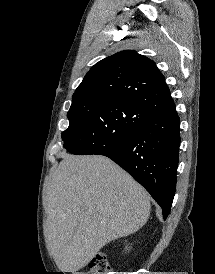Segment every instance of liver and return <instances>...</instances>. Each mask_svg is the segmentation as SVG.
Masks as SVG:
<instances>
[{"instance_id":"obj_1","label":"liver","mask_w":215,"mask_h":274,"mask_svg":"<svg viewBox=\"0 0 215 274\" xmlns=\"http://www.w3.org/2000/svg\"><path fill=\"white\" fill-rule=\"evenodd\" d=\"M149 215L145 189L112 160L64 154L51 180L49 252L59 270L76 272L110 241L138 231Z\"/></svg>"}]
</instances>
